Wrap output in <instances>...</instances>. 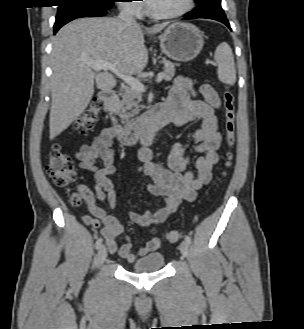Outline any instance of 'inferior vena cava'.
<instances>
[{
  "instance_id": "602c4592",
  "label": "inferior vena cava",
  "mask_w": 304,
  "mask_h": 329,
  "mask_svg": "<svg viewBox=\"0 0 304 329\" xmlns=\"http://www.w3.org/2000/svg\"><path fill=\"white\" fill-rule=\"evenodd\" d=\"M119 20H121L126 25H136V20L133 16V13L131 11V7L128 5H125L122 7L121 12L118 16Z\"/></svg>"
}]
</instances>
